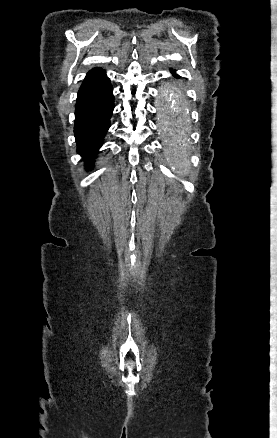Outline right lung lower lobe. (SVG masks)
Segmentation results:
<instances>
[{"mask_svg": "<svg viewBox=\"0 0 277 438\" xmlns=\"http://www.w3.org/2000/svg\"><path fill=\"white\" fill-rule=\"evenodd\" d=\"M112 90L103 71L86 77L79 89L74 132L78 152L87 164H91L97 155L110 127L114 108Z\"/></svg>", "mask_w": 277, "mask_h": 438, "instance_id": "98d812e1", "label": "right lung lower lobe"}]
</instances>
